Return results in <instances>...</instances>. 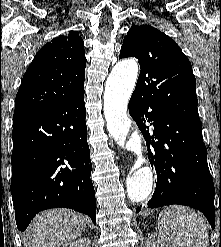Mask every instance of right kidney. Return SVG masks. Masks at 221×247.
Masks as SVG:
<instances>
[{
  "label": "right kidney",
  "mask_w": 221,
  "mask_h": 247,
  "mask_svg": "<svg viewBox=\"0 0 221 247\" xmlns=\"http://www.w3.org/2000/svg\"><path fill=\"white\" fill-rule=\"evenodd\" d=\"M69 247H91V241L87 238H79L70 243Z\"/></svg>",
  "instance_id": "1"
}]
</instances>
